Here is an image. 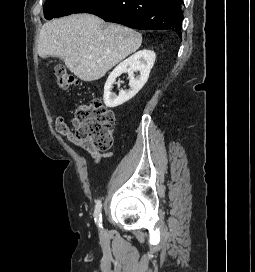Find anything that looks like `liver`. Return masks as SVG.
Returning a JSON list of instances; mask_svg holds the SVG:
<instances>
[{
  "instance_id": "liver-1",
  "label": "liver",
  "mask_w": 255,
  "mask_h": 272,
  "mask_svg": "<svg viewBox=\"0 0 255 272\" xmlns=\"http://www.w3.org/2000/svg\"><path fill=\"white\" fill-rule=\"evenodd\" d=\"M142 35L118 24H104L92 14H73L46 22L39 34L37 52L64 60L83 81L102 78L107 71L135 52Z\"/></svg>"
}]
</instances>
